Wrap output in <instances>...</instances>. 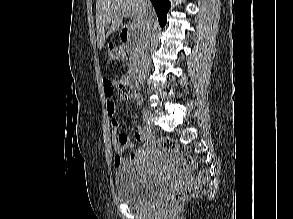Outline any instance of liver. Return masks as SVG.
Listing matches in <instances>:
<instances>
[{
  "label": "liver",
  "mask_w": 293,
  "mask_h": 219,
  "mask_svg": "<svg viewBox=\"0 0 293 219\" xmlns=\"http://www.w3.org/2000/svg\"><path fill=\"white\" fill-rule=\"evenodd\" d=\"M123 13H130L134 20L133 25L140 33L142 32L146 16L152 21L155 16L154 9L146 7L143 0H97L96 1V29H97V47L102 49L106 38L113 32L124 27ZM105 33V29L108 27Z\"/></svg>",
  "instance_id": "1"
}]
</instances>
